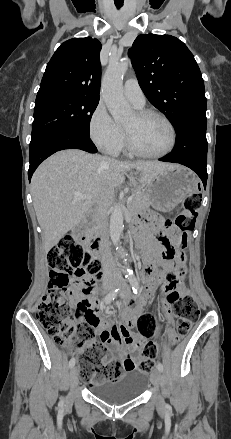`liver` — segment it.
I'll return each instance as SVG.
<instances>
[{"label":"liver","instance_id":"obj_1","mask_svg":"<svg viewBox=\"0 0 231 439\" xmlns=\"http://www.w3.org/2000/svg\"><path fill=\"white\" fill-rule=\"evenodd\" d=\"M178 165L157 161L123 162L78 149L59 151L46 159L31 180V193L38 223L42 229L45 254L78 225L100 199L111 204L115 189L124 182L127 171L140 172L139 182L150 183L158 174ZM88 194L90 200L75 199Z\"/></svg>","mask_w":231,"mask_h":439}]
</instances>
